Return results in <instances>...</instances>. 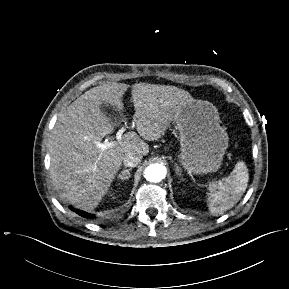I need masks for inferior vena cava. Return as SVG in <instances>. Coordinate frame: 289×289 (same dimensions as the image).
Wrapping results in <instances>:
<instances>
[{
  "instance_id": "obj_1",
  "label": "inferior vena cava",
  "mask_w": 289,
  "mask_h": 289,
  "mask_svg": "<svg viewBox=\"0 0 289 289\" xmlns=\"http://www.w3.org/2000/svg\"><path fill=\"white\" fill-rule=\"evenodd\" d=\"M141 159V155L128 152L123 158V163L126 167H136L141 162Z\"/></svg>"
}]
</instances>
